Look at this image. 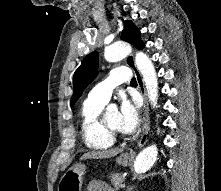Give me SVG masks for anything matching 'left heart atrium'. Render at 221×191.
Instances as JSON below:
<instances>
[{
    "label": "left heart atrium",
    "mask_w": 221,
    "mask_h": 191,
    "mask_svg": "<svg viewBox=\"0 0 221 191\" xmlns=\"http://www.w3.org/2000/svg\"><path fill=\"white\" fill-rule=\"evenodd\" d=\"M120 129L125 133H133L139 126V112L135 101L123 99L120 107Z\"/></svg>",
    "instance_id": "1"
}]
</instances>
